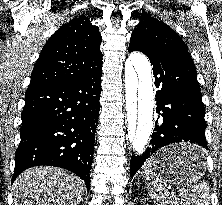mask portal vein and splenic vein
<instances>
[{
	"label": "portal vein and splenic vein",
	"instance_id": "portal-vein-and-splenic-vein-1",
	"mask_svg": "<svg viewBox=\"0 0 222 205\" xmlns=\"http://www.w3.org/2000/svg\"><path fill=\"white\" fill-rule=\"evenodd\" d=\"M170 191H171L172 195H175V194H176L173 189H170Z\"/></svg>",
	"mask_w": 222,
	"mask_h": 205
}]
</instances>
